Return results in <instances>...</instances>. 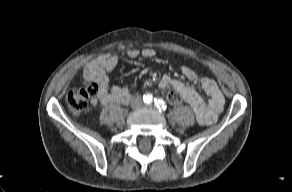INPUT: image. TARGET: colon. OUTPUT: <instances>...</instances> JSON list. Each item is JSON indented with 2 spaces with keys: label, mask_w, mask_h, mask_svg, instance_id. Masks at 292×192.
Instances as JSON below:
<instances>
[{
  "label": "colon",
  "mask_w": 292,
  "mask_h": 192,
  "mask_svg": "<svg viewBox=\"0 0 292 192\" xmlns=\"http://www.w3.org/2000/svg\"><path fill=\"white\" fill-rule=\"evenodd\" d=\"M98 93L99 84L95 81H88L83 87L70 90L66 97L69 112L73 115H80L87 109L89 99L95 98ZM164 95L171 103H180L181 98L174 91L165 89Z\"/></svg>",
  "instance_id": "colon-1"
}]
</instances>
